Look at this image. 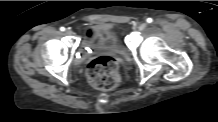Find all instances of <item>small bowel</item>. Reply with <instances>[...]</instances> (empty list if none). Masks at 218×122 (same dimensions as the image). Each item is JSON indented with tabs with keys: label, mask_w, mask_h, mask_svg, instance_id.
Segmentation results:
<instances>
[{
	"label": "small bowel",
	"mask_w": 218,
	"mask_h": 122,
	"mask_svg": "<svg viewBox=\"0 0 218 122\" xmlns=\"http://www.w3.org/2000/svg\"><path fill=\"white\" fill-rule=\"evenodd\" d=\"M91 29H93V27H92V28H88V30H87V32H86V34H87V33H89V31H90Z\"/></svg>",
	"instance_id": "small-bowel-1"
}]
</instances>
